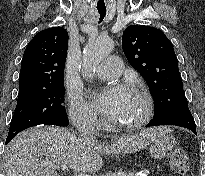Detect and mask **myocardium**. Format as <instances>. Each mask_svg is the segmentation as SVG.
I'll use <instances>...</instances> for the list:
<instances>
[{
    "instance_id": "f54148a6",
    "label": "myocardium",
    "mask_w": 205,
    "mask_h": 176,
    "mask_svg": "<svg viewBox=\"0 0 205 176\" xmlns=\"http://www.w3.org/2000/svg\"><path fill=\"white\" fill-rule=\"evenodd\" d=\"M136 95L142 100L144 104V113L142 117L133 123H118V127L125 130H135L145 126L153 115V102L150 94L144 89H138Z\"/></svg>"
}]
</instances>
